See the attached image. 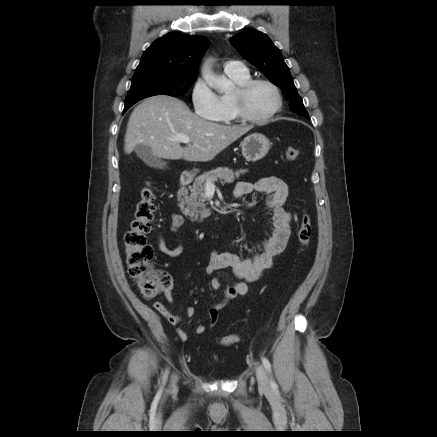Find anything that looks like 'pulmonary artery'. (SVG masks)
<instances>
[{
    "label": "pulmonary artery",
    "instance_id": "pulmonary-artery-1",
    "mask_svg": "<svg viewBox=\"0 0 437 437\" xmlns=\"http://www.w3.org/2000/svg\"><path fill=\"white\" fill-rule=\"evenodd\" d=\"M247 71L245 66L239 61H227L224 64V72L226 74H238Z\"/></svg>",
    "mask_w": 437,
    "mask_h": 437
}]
</instances>
